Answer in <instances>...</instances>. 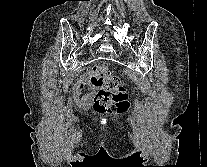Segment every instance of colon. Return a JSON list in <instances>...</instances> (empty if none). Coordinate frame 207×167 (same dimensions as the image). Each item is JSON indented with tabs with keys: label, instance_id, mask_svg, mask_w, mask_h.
Returning <instances> with one entry per match:
<instances>
[{
	"label": "colon",
	"instance_id": "obj_1",
	"mask_svg": "<svg viewBox=\"0 0 207 167\" xmlns=\"http://www.w3.org/2000/svg\"><path fill=\"white\" fill-rule=\"evenodd\" d=\"M91 82L100 89L93 103L97 112L110 110L122 113L127 109L129 101L124 82L114 75L104 63H99L94 67Z\"/></svg>",
	"mask_w": 207,
	"mask_h": 167
}]
</instances>
